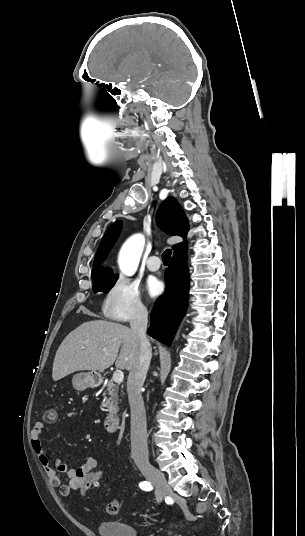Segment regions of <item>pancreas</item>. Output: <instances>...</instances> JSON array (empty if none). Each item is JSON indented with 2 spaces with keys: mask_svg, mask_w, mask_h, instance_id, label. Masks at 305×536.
Masks as SVG:
<instances>
[{
  "mask_svg": "<svg viewBox=\"0 0 305 536\" xmlns=\"http://www.w3.org/2000/svg\"><path fill=\"white\" fill-rule=\"evenodd\" d=\"M118 390H119V386H117V384H113L112 380L111 382H108L106 392H108V396H110V398L109 400H107L106 394H103L104 396V402L102 404L103 408H109L111 412H117L118 402H120L119 396H118ZM109 410H103V412H109Z\"/></svg>",
  "mask_w": 305,
  "mask_h": 536,
  "instance_id": "cf45deb5",
  "label": "pancreas"
}]
</instances>
